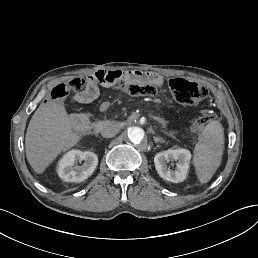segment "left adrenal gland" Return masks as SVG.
<instances>
[{
    "instance_id": "1",
    "label": "left adrenal gland",
    "mask_w": 258,
    "mask_h": 258,
    "mask_svg": "<svg viewBox=\"0 0 258 258\" xmlns=\"http://www.w3.org/2000/svg\"><path fill=\"white\" fill-rule=\"evenodd\" d=\"M153 140H154L155 143H157V142L164 143V142H165V140H163V138H161V137H156V136H153Z\"/></svg>"
}]
</instances>
